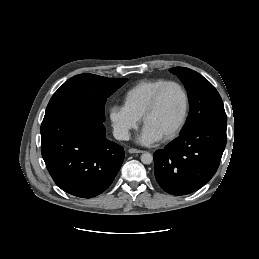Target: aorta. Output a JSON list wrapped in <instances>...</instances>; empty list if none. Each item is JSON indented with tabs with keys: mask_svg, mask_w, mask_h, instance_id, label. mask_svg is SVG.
<instances>
[{
	"mask_svg": "<svg viewBox=\"0 0 259 259\" xmlns=\"http://www.w3.org/2000/svg\"><path fill=\"white\" fill-rule=\"evenodd\" d=\"M141 162L143 164H151L153 162L152 154L145 152L141 155Z\"/></svg>",
	"mask_w": 259,
	"mask_h": 259,
	"instance_id": "762f6f07",
	"label": "aorta"
}]
</instances>
